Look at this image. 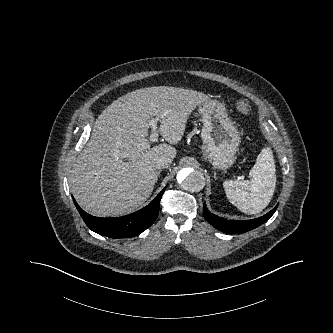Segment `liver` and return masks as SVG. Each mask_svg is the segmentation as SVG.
Listing matches in <instances>:
<instances>
[{
    "label": "liver",
    "mask_w": 333,
    "mask_h": 333,
    "mask_svg": "<svg viewBox=\"0 0 333 333\" xmlns=\"http://www.w3.org/2000/svg\"><path fill=\"white\" fill-rule=\"evenodd\" d=\"M209 97L167 86L140 88L113 101L98 116L89 142L77 156L69 177L70 191L88 213L117 217L141 206L157 182L156 159L176 156L168 144L151 146V118L170 144L183 137L189 115Z\"/></svg>",
    "instance_id": "obj_1"
}]
</instances>
